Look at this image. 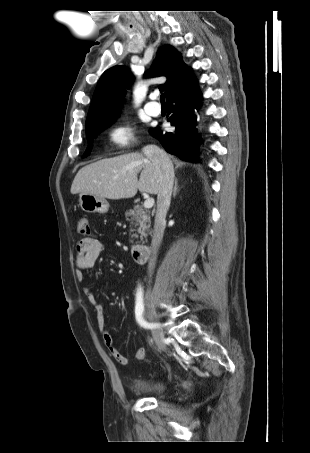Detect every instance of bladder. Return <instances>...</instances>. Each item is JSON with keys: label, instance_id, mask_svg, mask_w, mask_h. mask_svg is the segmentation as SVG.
Listing matches in <instances>:
<instances>
[{"label": "bladder", "instance_id": "1", "mask_svg": "<svg viewBox=\"0 0 310 453\" xmlns=\"http://www.w3.org/2000/svg\"><path fill=\"white\" fill-rule=\"evenodd\" d=\"M132 390L146 395H159L166 390V385L158 379L137 378L131 384Z\"/></svg>", "mask_w": 310, "mask_h": 453}]
</instances>
